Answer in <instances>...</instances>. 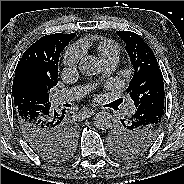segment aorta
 Segmentation results:
<instances>
[{"label": "aorta", "instance_id": "1", "mask_svg": "<svg viewBox=\"0 0 184 184\" xmlns=\"http://www.w3.org/2000/svg\"><path fill=\"white\" fill-rule=\"evenodd\" d=\"M79 70L82 74L92 76L102 71L99 60L92 55L83 57L79 62ZM113 117L107 111L97 112L93 117V125L100 130L109 129L112 126Z\"/></svg>", "mask_w": 184, "mask_h": 184}]
</instances>
